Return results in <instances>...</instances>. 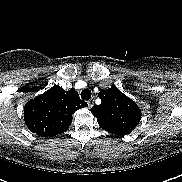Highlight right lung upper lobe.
<instances>
[{
	"instance_id": "1",
	"label": "right lung upper lobe",
	"mask_w": 182,
	"mask_h": 182,
	"mask_svg": "<svg viewBox=\"0 0 182 182\" xmlns=\"http://www.w3.org/2000/svg\"><path fill=\"white\" fill-rule=\"evenodd\" d=\"M87 106L75 90L65 91L55 85L25 104L24 120L31 132L53 136L65 132L74 112Z\"/></svg>"
}]
</instances>
